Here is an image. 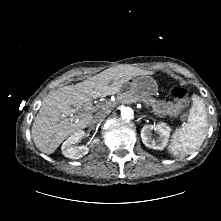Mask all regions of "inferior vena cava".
<instances>
[{
	"instance_id": "602c4592",
	"label": "inferior vena cava",
	"mask_w": 221,
	"mask_h": 221,
	"mask_svg": "<svg viewBox=\"0 0 221 221\" xmlns=\"http://www.w3.org/2000/svg\"><path fill=\"white\" fill-rule=\"evenodd\" d=\"M109 113H110L109 109L100 110L95 114L94 119H95V121H101Z\"/></svg>"
}]
</instances>
